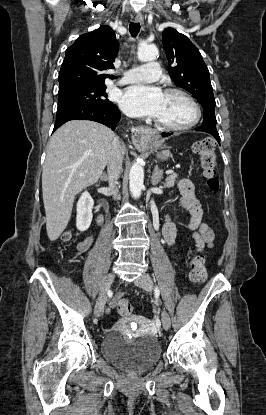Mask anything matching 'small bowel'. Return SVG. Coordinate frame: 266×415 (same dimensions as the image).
I'll list each match as a JSON object with an SVG mask.
<instances>
[{
  "mask_svg": "<svg viewBox=\"0 0 266 415\" xmlns=\"http://www.w3.org/2000/svg\"><path fill=\"white\" fill-rule=\"evenodd\" d=\"M178 188L180 191V206L189 212L190 220L187 223L188 229L193 232V238L196 242V248L198 251L204 248L212 247L214 240L213 231L202 221L203 210L200 201L195 195L194 186L188 179H182ZM177 234V228L175 223L167 216L162 226V235L164 241L168 246L173 245ZM93 243V237H87L81 241L77 246V254L86 252ZM121 295L116 296L111 302L110 307L113 308L119 301Z\"/></svg>",
  "mask_w": 266,
  "mask_h": 415,
  "instance_id": "obj_1",
  "label": "small bowel"
}]
</instances>
